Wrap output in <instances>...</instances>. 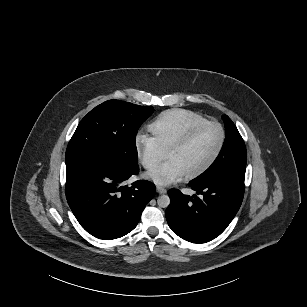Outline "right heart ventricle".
Here are the masks:
<instances>
[{
  "label": "right heart ventricle",
  "instance_id": "1",
  "mask_svg": "<svg viewBox=\"0 0 307 307\" xmlns=\"http://www.w3.org/2000/svg\"><path fill=\"white\" fill-rule=\"evenodd\" d=\"M205 122L206 119L194 111L174 108L160 113L149 129L153 139L165 151L173 142Z\"/></svg>",
  "mask_w": 307,
  "mask_h": 307
}]
</instances>
